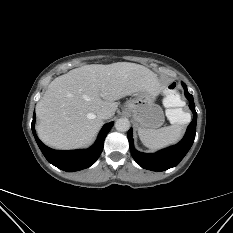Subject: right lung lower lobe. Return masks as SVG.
Instances as JSON below:
<instances>
[{"label": "right lung lower lobe", "mask_w": 233, "mask_h": 233, "mask_svg": "<svg viewBox=\"0 0 233 233\" xmlns=\"http://www.w3.org/2000/svg\"><path fill=\"white\" fill-rule=\"evenodd\" d=\"M35 113L33 115L32 131L35 140L45 158L57 168L73 172L82 170L93 165L103 150V143L106 135L112 128L114 122H110L102 128L95 144L85 150L57 151L45 146L37 137L34 129Z\"/></svg>", "instance_id": "obj_1"}]
</instances>
